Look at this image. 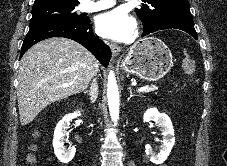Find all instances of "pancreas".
Segmentation results:
<instances>
[{
  "instance_id": "1",
  "label": "pancreas",
  "mask_w": 227,
  "mask_h": 166,
  "mask_svg": "<svg viewBox=\"0 0 227 166\" xmlns=\"http://www.w3.org/2000/svg\"><path fill=\"white\" fill-rule=\"evenodd\" d=\"M148 88H149V89H148V91H146V92H151V91H155V90L158 89L156 86H151V87H148Z\"/></svg>"
}]
</instances>
